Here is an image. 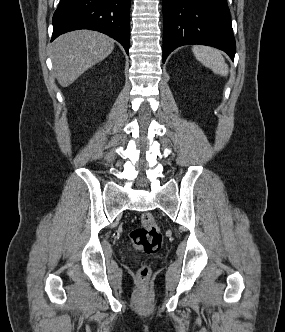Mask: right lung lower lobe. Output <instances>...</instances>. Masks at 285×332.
<instances>
[{"label":"right lung lower lobe","mask_w":285,"mask_h":332,"mask_svg":"<svg viewBox=\"0 0 285 332\" xmlns=\"http://www.w3.org/2000/svg\"><path fill=\"white\" fill-rule=\"evenodd\" d=\"M131 0H61L53 15V41L77 29H92L122 44L127 54L130 37Z\"/></svg>","instance_id":"98d812e1"}]
</instances>
